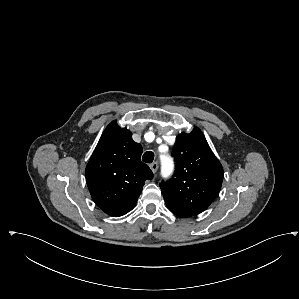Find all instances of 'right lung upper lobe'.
<instances>
[{
  "instance_id": "1",
  "label": "right lung upper lobe",
  "mask_w": 299,
  "mask_h": 299,
  "mask_svg": "<svg viewBox=\"0 0 299 299\" xmlns=\"http://www.w3.org/2000/svg\"><path fill=\"white\" fill-rule=\"evenodd\" d=\"M142 146L116 120L104 130L86 167V182L94 202L108 215L129 212L146 180L153 178L141 162Z\"/></svg>"
}]
</instances>
